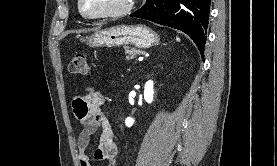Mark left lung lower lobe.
I'll use <instances>...</instances> for the list:
<instances>
[{"mask_svg": "<svg viewBox=\"0 0 277 166\" xmlns=\"http://www.w3.org/2000/svg\"><path fill=\"white\" fill-rule=\"evenodd\" d=\"M209 14L210 0H147L130 16L185 32L203 54Z\"/></svg>", "mask_w": 277, "mask_h": 166, "instance_id": "0a47b994", "label": "left lung lower lobe"}]
</instances>
